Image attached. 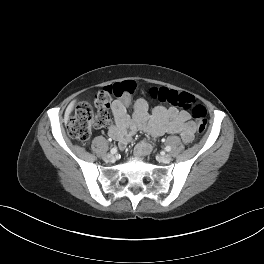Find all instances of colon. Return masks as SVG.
<instances>
[{"label": "colon", "mask_w": 264, "mask_h": 264, "mask_svg": "<svg viewBox=\"0 0 264 264\" xmlns=\"http://www.w3.org/2000/svg\"><path fill=\"white\" fill-rule=\"evenodd\" d=\"M134 89L132 81H123L96 94L93 102L96 110L90 102L85 101L78 104L74 115L67 124L69 135L81 143H87L94 128L103 127L109 123V106L112 97L127 99L133 94ZM151 96L153 99L172 107L190 110L198 131L203 132L206 129V109L197 103L191 94L166 87H153Z\"/></svg>", "instance_id": "5ec220e1"}]
</instances>
